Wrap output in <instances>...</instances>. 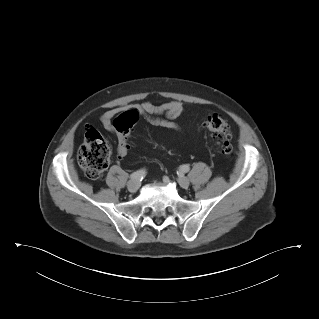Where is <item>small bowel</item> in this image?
<instances>
[{
  "label": "small bowel",
  "instance_id": "small-bowel-1",
  "mask_svg": "<svg viewBox=\"0 0 319 319\" xmlns=\"http://www.w3.org/2000/svg\"><path fill=\"white\" fill-rule=\"evenodd\" d=\"M142 116L152 125L163 127L176 132H181L182 127L175 122V119L184 113L185 107L179 101H170L160 105L150 101H144L135 106ZM117 109H111L103 113L101 123L109 132H115L113 118L117 114ZM129 149V142L122 141L118 137L117 150L120 156H124Z\"/></svg>",
  "mask_w": 319,
  "mask_h": 319
}]
</instances>
